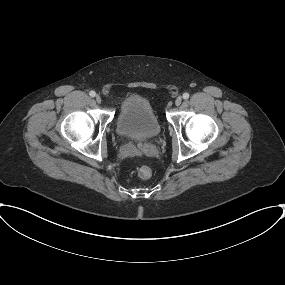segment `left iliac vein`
<instances>
[{"instance_id":"1","label":"left iliac vein","mask_w":285,"mask_h":285,"mask_svg":"<svg viewBox=\"0 0 285 285\" xmlns=\"http://www.w3.org/2000/svg\"><path fill=\"white\" fill-rule=\"evenodd\" d=\"M181 103H182V97L179 96V97H177L176 100H175V105H176V106H179Z\"/></svg>"}]
</instances>
